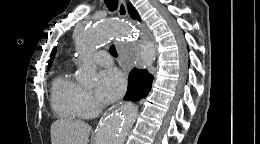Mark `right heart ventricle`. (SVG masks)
<instances>
[{
    "mask_svg": "<svg viewBox=\"0 0 260 144\" xmlns=\"http://www.w3.org/2000/svg\"><path fill=\"white\" fill-rule=\"evenodd\" d=\"M82 87L68 74L58 75L52 85L51 103L54 111L63 118L77 119L85 116L80 96Z\"/></svg>",
    "mask_w": 260,
    "mask_h": 144,
    "instance_id": "1",
    "label": "right heart ventricle"
}]
</instances>
